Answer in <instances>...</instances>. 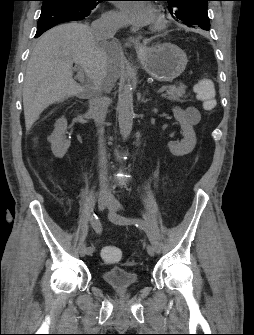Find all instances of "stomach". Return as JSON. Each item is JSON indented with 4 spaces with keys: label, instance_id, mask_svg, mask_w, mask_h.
Instances as JSON below:
<instances>
[{
    "label": "stomach",
    "instance_id": "1",
    "mask_svg": "<svg viewBox=\"0 0 254 335\" xmlns=\"http://www.w3.org/2000/svg\"><path fill=\"white\" fill-rule=\"evenodd\" d=\"M145 71L160 82H171L185 70L188 59L186 53L172 43H157L137 50Z\"/></svg>",
    "mask_w": 254,
    "mask_h": 335
}]
</instances>
